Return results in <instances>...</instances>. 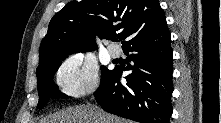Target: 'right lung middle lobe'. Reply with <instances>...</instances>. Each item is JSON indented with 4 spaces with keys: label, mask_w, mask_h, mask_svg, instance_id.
I'll return each instance as SVG.
<instances>
[{
    "label": "right lung middle lobe",
    "mask_w": 221,
    "mask_h": 123,
    "mask_svg": "<svg viewBox=\"0 0 221 123\" xmlns=\"http://www.w3.org/2000/svg\"><path fill=\"white\" fill-rule=\"evenodd\" d=\"M60 58L49 64L38 68L36 71L37 74V87H38V94H39V103L37 105L38 109L43 108L50 98H67L65 94H62L58 90V86L54 84L53 77L56 71L58 70L59 66L61 65ZM107 68L101 66V79L109 72Z\"/></svg>",
    "instance_id": "1"
}]
</instances>
